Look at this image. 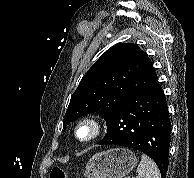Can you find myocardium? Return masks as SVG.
Wrapping results in <instances>:
<instances>
[{"instance_id":"f54148a6","label":"myocardium","mask_w":194,"mask_h":178,"mask_svg":"<svg viewBox=\"0 0 194 178\" xmlns=\"http://www.w3.org/2000/svg\"><path fill=\"white\" fill-rule=\"evenodd\" d=\"M88 127L90 129V134L86 138H81L79 136V131ZM104 133V124L103 122L95 116H86L80 119L74 128V137L77 141L81 143H90L99 139Z\"/></svg>"}]
</instances>
